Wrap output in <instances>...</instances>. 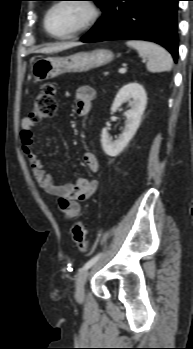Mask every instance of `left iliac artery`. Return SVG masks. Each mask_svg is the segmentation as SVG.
Masks as SVG:
<instances>
[{"label":"left iliac artery","instance_id":"44dca946","mask_svg":"<svg viewBox=\"0 0 193 349\" xmlns=\"http://www.w3.org/2000/svg\"><path fill=\"white\" fill-rule=\"evenodd\" d=\"M101 255H102V253H98L93 258H91L88 262H86V264L83 266V270H87L90 267H92L98 261V259L101 257Z\"/></svg>","mask_w":193,"mask_h":349}]
</instances>
